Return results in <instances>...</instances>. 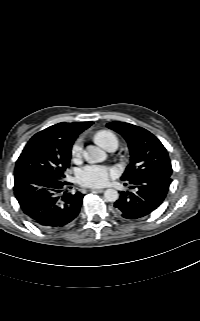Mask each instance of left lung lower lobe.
I'll use <instances>...</instances> for the list:
<instances>
[{
	"mask_svg": "<svg viewBox=\"0 0 200 321\" xmlns=\"http://www.w3.org/2000/svg\"><path fill=\"white\" fill-rule=\"evenodd\" d=\"M126 181L133 191L122 192L114 207L121 219L133 220L148 215L161 205L172 180L163 175H149Z\"/></svg>",
	"mask_w": 200,
	"mask_h": 321,
	"instance_id": "1",
	"label": "left lung lower lobe"
}]
</instances>
